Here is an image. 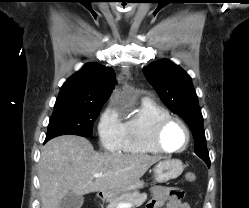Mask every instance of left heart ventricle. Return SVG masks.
Listing matches in <instances>:
<instances>
[{"label":"left heart ventricle","instance_id":"obj_1","mask_svg":"<svg viewBox=\"0 0 249 208\" xmlns=\"http://www.w3.org/2000/svg\"><path fill=\"white\" fill-rule=\"evenodd\" d=\"M162 142L168 149L182 148L186 142L185 130L176 122L169 124L162 134Z\"/></svg>","mask_w":249,"mask_h":208}]
</instances>
